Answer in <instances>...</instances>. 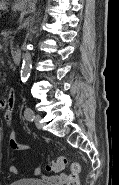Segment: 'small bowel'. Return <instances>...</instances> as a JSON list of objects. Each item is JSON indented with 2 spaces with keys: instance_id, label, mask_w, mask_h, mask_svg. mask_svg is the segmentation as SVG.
I'll return each instance as SVG.
<instances>
[{
  "instance_id": "c3829d8e",
  "label": "small bowel",
  "mask_w": 119,
  "mask_h": 185,
  "mask_svg": "<svg viewBox=\"0 0 119 185\" xmlns=\"http://www.w3.org/2000/svg\"><path fill=\"white\" fill-rule=\"evenodd\" d=\"M15 91L10 90L7 97L0 99V108L4 111V119L11 123L13 119L14 105H15ZM10 150L11 151H28L30 149L29 145L20 144L15 139V132L11 131L10 133ZM19 158L15 157L13 160H18ZM12 173H18V169L15 166L10 167ZM39 168L36 170V173L39 174ZM68 175L60 174L56 176L47 177L46 180L51 185H64L67 181Z\"/></svg>"
}]
</instances>
